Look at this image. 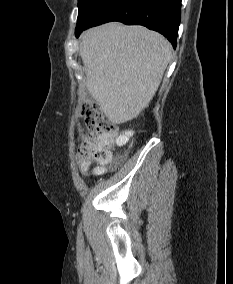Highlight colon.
<instances>
[{
    "mask_svg": "<svg viewBox=\"0 0 233 284\" xmlns=\"http://www.w3.org/2000/svg\"><path fill=\"white\" fill-rule=\"evenodd\" d=\"M83 117L87 132L82 135L79 146V161L90 166L94 163L107 164L111 161L114 144L115 125L102 114L96 104L83 107Z\"/></svg>",
    "mask_w": 233,
    "mask_h": 284,
    "instance_id": "obj_1",
    "label": "colon"
}]
</instances>
